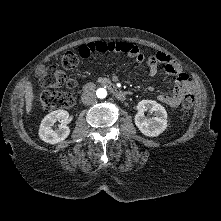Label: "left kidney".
<instances>
[{"label":"left kidney","instance_id":"obj_1","mask_svg":"<svg viewBox=\"0 0 221 221\" xmlns=\"http://www.w3.org/2000/svg\"><path fill=\"white\" fill-rule=\"evenodd\" d=\"M138 113L135 115V124L142 134L148 137H156L167 128V112L165 108L156 101L142 100L137 105ZM151 111L154 117L147 119L145 111Z\"/></svg>","mask_w":221,"mask_h":221}]
</instances>
